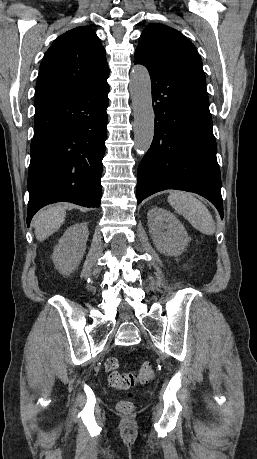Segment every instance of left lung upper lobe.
<instances>
[{"mask_svg":"<svg viewBox=\"0 0 257 459\" xmlns=\"http://www.w3.org/2000/svg\"><path fill=\"white\" fill-rule=\"evenodd\" d=\"M135 62L161 72L204 74L194 45L179 31L162 24H150L143 31L135 51Z\"/></svg>","mask_w":257,"mask_h":459,"instance_id":"obj_1","label":"left lung upper lobe"}]
</instances>
